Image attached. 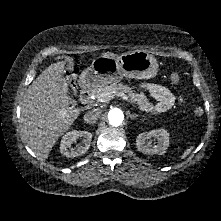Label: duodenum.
Segmentation results:
<instances>
[{
  "label": "duodenum",
  "instance_id": "1",
  "mask_svg": "<svg viewBox=\"0 0 221 221\" xmlns=\"http://www.w3.org/2000/svg\"><path fill=\"white\" fill-rule=\"evenodd\" d=\"M94 89L90 86H84L80 92V101L83 105L88 106L92 100Z\"/></svg>",
  "mask_w": 221,
  "mask_h": 221
}]
</instances>
